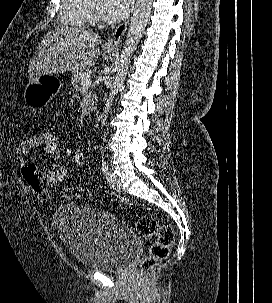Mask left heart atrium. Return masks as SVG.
<instances>
[{
  "label": "left heart atrium",
  "instance_id": "left-heart-atrium-1",
  "mask_svg": "<svg viewBox=\"0 0 272 303\" xmlns=\"http://www.w3.org/2000/svg\"><path fill=\"white\" fill-rule=\"evenodd\" d=\"M131 6L132 0H105L102 13L108 20L120 21L128 16Z\"/></svg>",
  "mask_w": 272,
  "mask_h": 303
}]
</instances>
